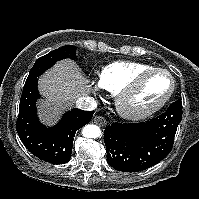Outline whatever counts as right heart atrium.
<instances>
[{"label": "right heart atrium", "mask_w": 199, "mask_h": 199, "mask_svg": "<svg viewBox=\"0 0 199 199\" xmlns=\"http://www.w3.org/2000/svg\"><path fill=\"white\" fill-rule=\"evenodd\" d=\"M99 87H100V86H95V88H94V89L97 91V90L99 89Z\"/></svg>", "instance_id": "1"}]
</instances>
